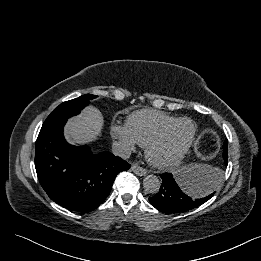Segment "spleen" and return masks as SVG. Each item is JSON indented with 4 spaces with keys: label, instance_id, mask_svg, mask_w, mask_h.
<instances>
[{
    "label": "spleen",
    "instance_id": "1",
    "mask_svg": "<svg viewBox=\"0 0 261 261\" xmlns=\"http://www.w3.org/2000/svg\"><path fill=\"white\" fill-rule=\"evenodd\" d=\"M187 172L190 177H195V178H202L204 176H209V175L216 173V171L207 164L189 165L187 168ZM217 174H218V178H217V181H216L214 187L212 189L204 191V193L199 194L200 196L207 195L208 193H210L211 191L216 189L217 185L219 184V174L220 173H217Z\"/></svg>",
    "mask_w": 261,
    "mask_h": 261
}]
</instances>
